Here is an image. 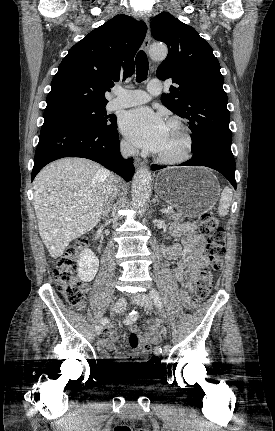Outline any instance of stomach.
<instances>
[{"label":"stomach","mask_w":275,"mask_h":431,"mask_svg":"<svg viewBox=\"0 0 275 431\" xmlns=\"http://www.w3.org/2000/svg\"><path fill=\"white\" fill-rule=\"evenodd\" d=\"M157 194L187 217H197L216 204L220 185L215 175L203 167L168 168L157 174Z\"/></svg>","instance_id":"0dacf381"}]
</instances>
